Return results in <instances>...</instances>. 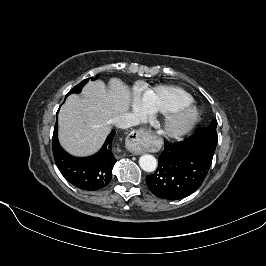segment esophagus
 Wrapping results in <instances>:
<instances>
[{
    "instance_id": "1",
    "label": "esophagus",
    "mask_w": 266,
    "mask_h": 266,
    "mask_svg": "<svg viewBox=\"0 0 266 266\" xmlns=\"http://www.w3.org/2000/svg\"><path fill=\"white\" fill-rule=\"evenodd\" d=\"M148 138V132L145 129H138L129 134L126 139V148L134 155H140L145 152L144 142Z\"/></svg>"
}]
</instances>
